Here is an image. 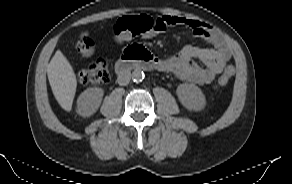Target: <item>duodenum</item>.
<instances>
[{
	"label": "duodenum",
	"mask_w": 292,
	"mask_h": 184,
	"mask_svg": "<svg viewBox=\"0 0 292 184\" xmlns=\"http://www.w3.org/2000/svg\"><path fill=\"white\" fill-rule=\"evenodd\" d=\"M130 68L139 70L162 69L163 60L149 53L142 46H133L124 52L115 66L118 75L125 74Z\"/></svg>",
	"instance_id": "duodenum-1"
}]
</instances>
